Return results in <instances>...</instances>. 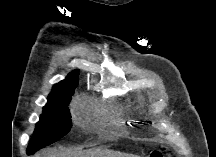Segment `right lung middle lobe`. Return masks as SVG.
I'll return each instance as SVG.
<instances>
[{
    "label": "right lung middle lobe",
    "instance_id": "1",
    "mask_svg": "<svg viewBox=\"0 0 216 157\" xmlns=\"http://www.w3.org/2000/svg\"><path fill=\"white\" fill-rule=\"evenodd\" d=\"M73 93L67 92L48 99L29 142L28 155L58 141L70 131L72 122L68 105Z\"/></svg>",
    "mask_w": 216,
    "mask_h": 157
}]
</instances>
